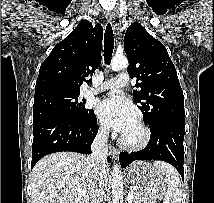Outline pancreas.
Wrapping results in <instances>:
<instances>
[{
	"label": "pancreas",
	"instance_id": "pancreas-1",
	"mask_svg": "<svg viewBox=\"0 0 214 203\" xmlns=\"http://www.w3.org/2000/svg\"><path fill=\"white\" fill-rule=\"evenodd\" d=\"M133 196L135 197V193L133 192Z\"/></svg>",
	"mask_w": 214,
	"mask_h": 203
}]
</instances>
